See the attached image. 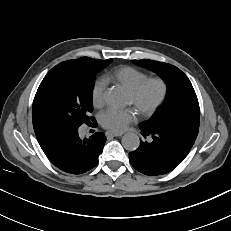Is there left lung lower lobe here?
<instances>
[{"label":"left lung lower lobe","instance_id":"1","mask_svg":"<svg viewBox=\"0 0 231 231\" xmlns=\"http://www.w3.org/2000/svg\"><path fill=\"white\" fill-rule=\"evenodd\" d=\"M142 135L149 142L140 141V146L129 154L130 163L145 175H162L178 166L188 155L196 137L167 130H151L140 126Z\"/></svg>","mask_w":231,"mask_h":231}]
</instances>
